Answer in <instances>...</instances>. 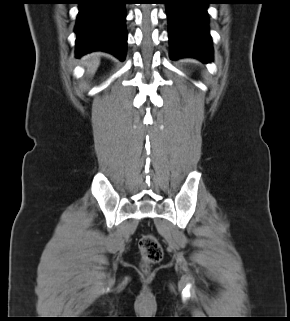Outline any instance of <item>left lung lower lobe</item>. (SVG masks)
I'll use <instances>...</instances> for the list:
<instances>
[{
    "label": "left lung lower lobe",
    "instance_id": "0a47b994",
    "mask_svg": "<svg viewBox=\"0 0 290 321\" xmlns=\"http://www.w3.org/2000/svg\"><path fill=\"white\" fill-rule=\"evenodd\" d=\"M211 0H166L171 59L195 57L210 62L213 49L208 30Z\"/></svg>",
    "mask_w": 290,
    "mask_h": 321
}]
</instances>
